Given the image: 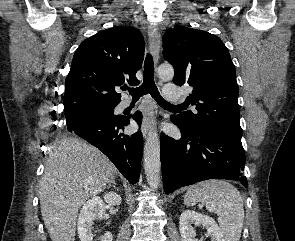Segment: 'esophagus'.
<instances>
[{"label":"esophagus","instance_id":"34e87169","mask_svg":"<svg viewBox=\"0 0 295 241\" xmlns=\"http://www.w3.org/2000/svg\"><path fill=\"white\" fill-rule=\"evenodd\" d=\"M148 36H149V41H150L154 62L157 63L159 59L160 38H161L159 28L156 25H149ZM155 115H156V110H155L154 104L152 103L148 104L145 109V114H144L143 123H142V134L144 138L147 137L148 132L154 126Z\"/></svg>","mask_w":295,"mask_h":241}]
</instances>
